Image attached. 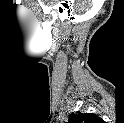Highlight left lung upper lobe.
Listing matches in <instances>:
<instances>
[{
	"label": "left lung upper lobe",
	"mask_w": 124,
	"mask_h": 123,
	"mask_svg": "<svg viewBox=\"0 0 124 123\" xmlns=\"http://www.w3.org/2000/svg\"><path fill=\"white\" fill-rule=\"evenodd\" d=\"M99 120L100 118L93 113H81L78 111L70 114L68 123H98Z\"/></svg>",
	"instance_id": "1"
}]
</instances>
